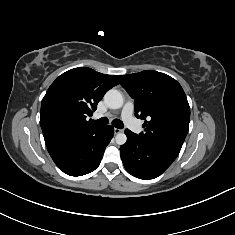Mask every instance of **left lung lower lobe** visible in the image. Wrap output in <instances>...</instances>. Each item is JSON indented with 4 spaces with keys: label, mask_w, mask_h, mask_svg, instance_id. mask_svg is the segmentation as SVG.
I'll use <instances>...</instances> for the list:
<instances>
[{
    "label": "left lung lower lobe",
    "mask_w": 235,
    "mask_h": 235,
    "mask_svg": "<svg viewBox=\"0 0 235 235\" xmlns=\"http://www.w3.org/2000/svg\"><path fill=\"white\" fill-rule=\"evenodd\" d=\"M127 142L120 147L125 169L140 179H153L161 175L176 159L179 152L143 139L126 129Z\"/></svg>",
    "instance_id": "1"
}]
</instances>
